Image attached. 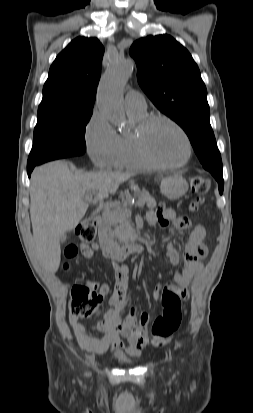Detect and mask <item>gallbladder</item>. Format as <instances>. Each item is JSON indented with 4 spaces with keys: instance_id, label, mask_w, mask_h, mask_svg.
<instances>
[{
    "instance_id": "bac80fb5",
    "label": "gallbladder",
    "mask_w": 253,
    "mask_h": 413,
    "mask_svg": "<svg viewBox=\"0 0 253 413\" xmlns=\"http://www.w3.org/2000/svg\"><path fill=\"white\" fill-rule=\"evenodd\" d=\"M66 238H67V234L64 233V234L61 236L60 241H61V242H64V241L66 240Z\"/></svg>"
}]
</instances>
